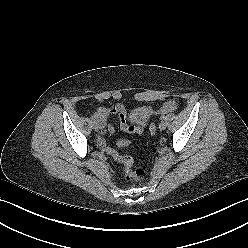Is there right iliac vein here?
<instances>
[{
    "label": "right iliac vein",
    "instance_id": "right-iliac-vein-1",
    "mask_svg": "<svg viewBox=\"0 0 248 248\" xmlns=\"http://www.w3.org/2000/svg\"><path fill=\"white\" fill-rule=\"evenodd\" d=\"M92 126H93V129H94L95 131H98V130H99V125H98V123L94 122Z\"/></svg>",
    "mask_w": 248,
    "mask_h": 248
}]
</instances>
